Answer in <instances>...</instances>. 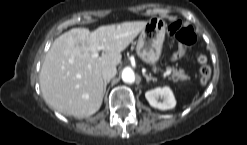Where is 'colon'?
Segmentation results:
<instances>
[{"label":"colon","instance_id":"5ec220e1","mask_svg":"<svg viewBox=\"0 0 247 145\" xmlns=\"http://www.w3.org/2000/svg\"><path fill=\"white\" fill-rule=\"evenodd\" d=\"M168 33L171 37L175 38L177 42L182 46L194 45L197 41V36L194 29L191 26H183L180 20L173 21L168 26ZM200 67V80L205 84L208 82L211 76V68L208 65V59L205 55L200 54L197 57Z\"/></svg>","mask_w":247,"mask_h":145}]
</instances>
